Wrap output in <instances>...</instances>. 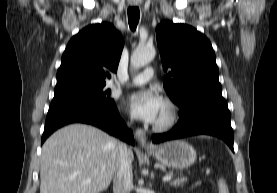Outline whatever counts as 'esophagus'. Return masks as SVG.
<instances>
[{"instance_id": "obj_1", "label": "esophagus", "mask_w": 277, "mask_h": 193, "mask_svg": "<svg viewBox=\"0 0 277 193\" xmlns=\"http://www.w3.org/2000/svg\"><path fill=\"white\" fill-rule=\"evenodd\" d=\"M135 5V4H132ZM135 136L137 141L139 142L140 145H142L143 147H152L153 145L150 144L147 140V136L144 130L142 129H137L135 132Z\"/></svg>"}]
</instances>
